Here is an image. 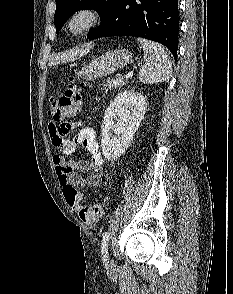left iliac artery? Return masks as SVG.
<instances>
[{"mask_svg":"<svg viewBox=\"0 0 233 294\" xmlns=\"http://www.w3.org/2000/svg\"><path fill=\"white\" fill-rule=\"evenodd\" d=\"M108 241H109V235L108 232H105L103 234V239L101 243V253H102V259L105 263H108Z\"/></svg>","mask_w":233,"mask_h":294,"instance_id":"1","label":"left iliac artery"}]
</instances>
